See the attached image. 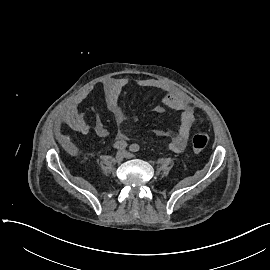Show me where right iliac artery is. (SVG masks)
<instances>
[{"label": "right iliac artery", "mask_w": 270, "mask_h": 270, "mask_svg": "<svg viewBox=\"0 0 270 270\" xmlns=\"http://www.w3.org/2000/svg\"><path fill=\"white\" fill-rule=\"evenodd\" d=\"M113 147L118 150H123L127 147V143L125 141H117L114 143Z\"/></svg>", "instance_id": "obj_1"}]
</instances>
